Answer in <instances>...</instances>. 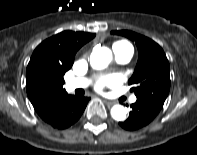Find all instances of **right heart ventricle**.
Wrapping results in <instances>:
<instances>
[{"mask_svg": "<svg viewBox=\"0 0 197 155\" xmlns=\"http://www.w3.org/2000/svg\"><path fill=\"white\" fill-rule=\"evenodd\" d=\"M131 47L128 43L126 42H123V41H119V42H116L113 47Z\"/></svg>", "mask_w": 197, "mask_h": 155, "instance_id": "right-heart-ventricle-1", "label": "right heart ventricle"}]
</instances>
